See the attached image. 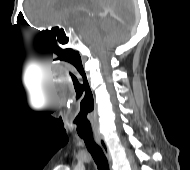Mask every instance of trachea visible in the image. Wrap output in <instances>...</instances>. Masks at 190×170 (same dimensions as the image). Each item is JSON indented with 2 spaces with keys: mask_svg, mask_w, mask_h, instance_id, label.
<instances>
[{
  "mask_svg": "<svg viewBox=\"0 0 190 170\" xmlns=\"http://www.w3.org/2000/svg\"><path fill=\"white\" fill-rule=\"evenodd\" d=\"M91 153L98 170H109L108 160L101 149V147L94 141L92 135H81L80 136Z\"/></svg>",
  "mask_w": 190,
  "mask_h": 170,
  "instance_id": "3493384b",
  "label": "trachea"
}]
</instances>
